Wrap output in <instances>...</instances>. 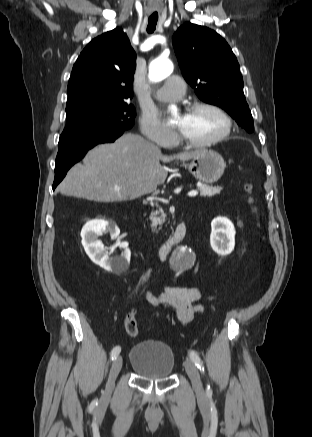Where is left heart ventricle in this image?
I'll use <instances>...</instances> for the list:
<instances>
[{"mask_svg":"<svg viewBox=\"0 0 312 437\" xmlns=\"http://www.w3.org/2000/svg\"><path fill=\"white\" fill-rule=\"evenodd\" d=\"M182 116L179 117V126ZM224 128L223 119L213 111L201 110L185 115L181 133L188 139L203 141L218 135Z\"/></svg>","mask_w":312,"mask_h":437,"instance_id":"b2bd125f","label":"left heart ventricle"}]
</instances>
